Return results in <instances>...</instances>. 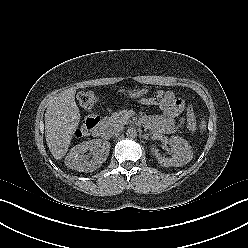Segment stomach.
<instances>
[{
	"label": "stomach",
	"mask_w": 248,
	"mask_h": 248,
	"mask_svg": "<svg viewBox=\"0 0 248 248\" xmlns=\"http://www.w3.org/2000/svg\"><path fill=\"white\" fill-rule=\"evenodd\" d=\"M147 92H148V90L145 89V88H143V89H136V90L130 92L129 93V96L131 98H139V97L144 96Z\"/></svg>",
	"instance_id": "0dacf381"
}]
</instances>
